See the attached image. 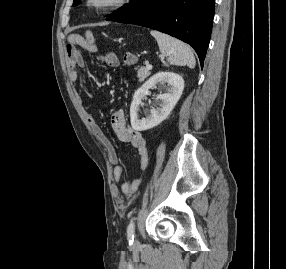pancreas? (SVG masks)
Masks as SVG:
<instances>
[{"label": "pancreas", "instance_id": "obj_1", "mask_svg": "<svg viewBox=\"0 0 286 269\" xmlns=\"http://www.w3.org/2000/svg\"><path fill=\"white\" fill-rule=\"evenodd\" d=\"M150 75V70H148L146 67H140L137 71V77L140 81H143Z\"/></svg>", "mask_w": 286, "mask_h": 269}]
</instances>
